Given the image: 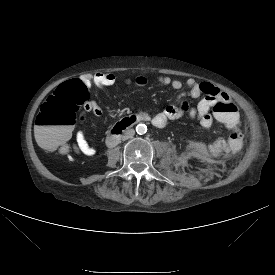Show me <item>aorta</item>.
<instances>
[{
  "instance_id": "aorta-1",
  "label": "aorta",
  "mask_w": 275,
  "mask_h": 275,
  "mask_svg": "<svg viewBox=\"0 0 275 275\" xmlns=\"http://www.w3.org/2000/svg\"><path fill=\"white\" fill-rule=\"evenodd\" d=\"M136 132L139 135H143L147 132V126L145 124H138L136 127Z\"/></svg>"
}]
</instances>
